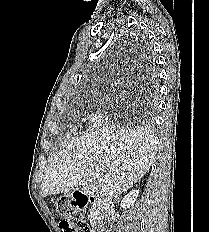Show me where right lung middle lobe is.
Here are the masks:
<instances>
[{
  "mask_svg": "<svg viewBox=\"0 0 209 232\" xmlns=\"http://www.w3.org/2000/svg\"><path fill=\"white\" fill-rule=\"evenodd\" d=\"M155 79L154 74L152 73L150 75V79L148 82H151V93H149L148 97H147V101L145 106V118H144V122L146 123V125L148 127H152L153 126V122H154V110H155V106H156V98H157V89L156 87H154L153 81ZM150 91V90H149Z\"/></svg>",
  "mask_w": 209,
  "mask_h": 232,
  "instance_id": "1",
  "label": "right lung middle lobe"
}]
</instances>
